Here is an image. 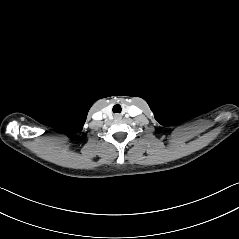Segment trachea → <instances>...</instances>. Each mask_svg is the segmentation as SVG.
I'll return each instance as SVG.
<instances>
[{
    "mask_svg": "<svg viewBox=\"0 0 239 239\" xmlns=\"http://www.w3.org/2000/svg\"><path fill=\"white\" fill-rule=\"evenodd\" d=\"M113 112L114 113H120L121 112V107H120V105H115L114 107H113Z\"/></svg>",
    "mask_w": 239,
    "mask_h": 239,
    "instance_id": "obj_1",
    "label": "trachea"
}]
</instances>
